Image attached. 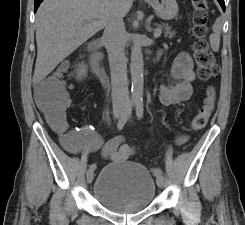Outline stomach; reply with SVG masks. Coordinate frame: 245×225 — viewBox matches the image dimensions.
<instances>
[{
	"label": "stomach",
	"mask_w": 245,
	"mask_h": 225,
	"mask_svg": "<svg viewBox=\"0 0 245 225\" xmlns=\"http://www.w3.org/2000/svg\"><path fill=\"white\" fill-rule=\"evenodd\" d=\"M145 2L151 5L156 15L163 20H171L178 13L176 0H145Z\"/></svg>",
	"instance_id": "1"
}]
</instances>
